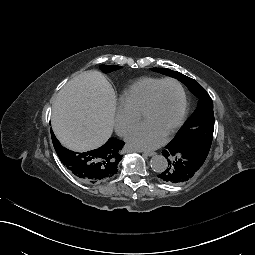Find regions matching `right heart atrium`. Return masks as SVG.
<instances>
[{
    "label": "right heart atrium",
    "instance_id": "obj_1",
    "mask_svg": "<svg viewBox=\"0 0 255 255\" xmlns=\"http://www.w3.org/2000/svg\"><path fill=\"white\" fill-rule=\"evenodd\" d=\"M139 115L118 106L114 110V126L118 135L125 136L129 130L138 122Z\"/></svg>",
    "mask_w": 255,
    "mask_h": 255
}]
</instances>
